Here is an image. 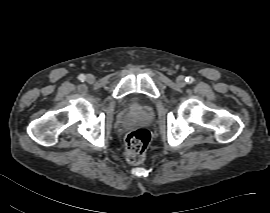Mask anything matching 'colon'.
I'll use <instances>...</instances> for the list:
<instances>
[{"label":"colon","mask_w":270,"mask_h":213,"mask_svg":"<svg viewBox=\"0 0 270 213\" xmlns=\"http://www.w3.org/2000/svg\"><path fill=\"white\" fill-rule=\"evenodd\" d=\"M150 142L147 129L138 128L130 131L125 140V156L129 163L137 164L144 159Z\"/></svg>","instance_id":"obj_1"}]
</instances>
